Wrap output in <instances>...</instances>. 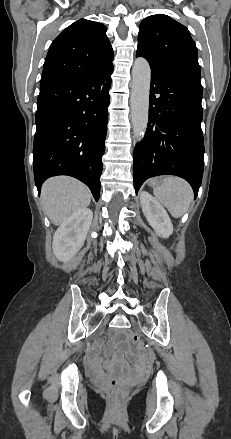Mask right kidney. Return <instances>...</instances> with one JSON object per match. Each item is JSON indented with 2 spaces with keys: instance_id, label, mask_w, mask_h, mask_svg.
<instances>
[{
  "instance_id": "obj_1",
  "label": "right kidney",
  "mask_w": 231,
  "mask_h": 439,
  "mask_svg": "<svg viewBox=\"0 0 231 439\" xmlns=\"http://www.w3.org/2000/svg\"><path fill=\"white\" fill-rule=\"evenodd\" d=\"M93 218V212L84 208L68 217L53 236V252L60 261L72 258L83 246Z\"/></svg>"
}]
</instances>
